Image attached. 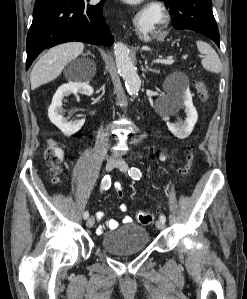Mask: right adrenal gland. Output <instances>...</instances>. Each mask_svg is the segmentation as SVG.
<instances>
[{
  "label": "right adrenal gland",
  "instance_id": "obj_1",
  "mask_svg": "<svg viewBox=\"0 0 247 299\" xmlns=\"http://www.w3.org/2000/svg\"><path fill=\"white\" fill-rule=\"evenodd\" d=\"M87 54H88V55H91L93 58H95V56H94L93 54H91L90 51H87Z\"/></svg>",
  "mask_w": 247,
  "mask_h": 299
}]
</instances>
